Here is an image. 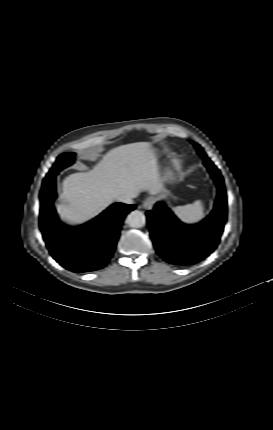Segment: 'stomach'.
Returning a JSON list of instances; mask_svg holds the SVG:
<instances>
[{
  "label": "stomach",
  "instance_id": "1",
  "mask_svg": "<svg viewBox=\"0 0 273 430\" xmlns=\"http://www.w3.org/2000/svg\"><path fill=\"white\" fill-rule=\"evenodd\" d=\"M172 179H173L172 172L171 171H166L165 174H164V180L171 181Z\"/></svg>",
  "mask_w": 273,
  "mask_h": 430
}]
</instances>
